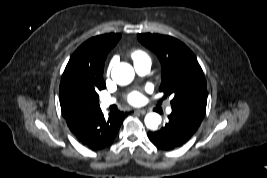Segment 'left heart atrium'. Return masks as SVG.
<instances>
[{
	"label": "left heart atrium",
	"mask_w": 267,
	"mask_h": 178,
	"mask_svg": "<svg viewBox=\"0 0 267 178\" xmlns=\"http://www.w3.org/2000/svg\"><path fill=\"white\" fill-rule=\"evenodd\" d=\"M126 99L130 104L138 105L143 102L144 97L141 91L133 90L127 94Z\"/></svg>",
	"instance_id": "1"
}]
</instances>
